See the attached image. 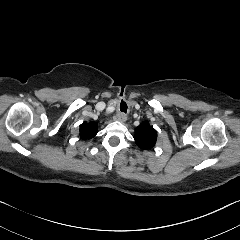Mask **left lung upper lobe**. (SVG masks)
<instances>
[{
  "instance_id": "1",
  "label": "left lung upper lobe",
  "mask_w": 240,
  "mask_h": 240,
  "mask_svg": "<svg viewBox=\"0 0 240 240\" xmlns=\"http://www.w3.org/2000/svg\"><path fill=\"white\" fill-rule=\"evenodd\" d=\"M135 143L142 149H151L157 140V132L148 121L141 123L135 130Z\"/></svg>"
}]
</instances>
